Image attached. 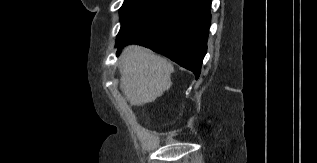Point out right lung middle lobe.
Wrapping results in <instances>:
<instances>
[{
	"instance_id": "dd1d6c3e",
	"label": "right lung middle lobe",
	"mask_w": 317,
	"mask_h": 163,
	"mask_svg": "<svg viewBox=\"0 0 317 163\" xmlns=\"http://www.w3.org/2000/svg\"><path fill=\"white\" fill-rule=\"evenodd\" d=\"M176 0H125L120 8L121 28L117 40L127 37L150 24Z\"/></svg>"
}]
</instances>
